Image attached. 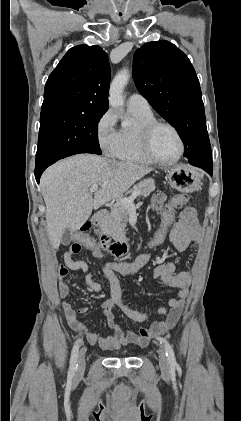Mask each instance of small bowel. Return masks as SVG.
Listing matches in <instances>:
<instances>
[{
	"label": "small bowel",
	"instance_id": "obj_1",
	"mask_svg": "<svg viewBox=\"0 0 241 421\" xmlns=\"http://www.w3.org/2000/svg\"><path fill=\"white\" fill-rule=\"evenodd\" d=\"M165 195L157 193L154 195L152 204L155 211L161 215L164 210ZM170 241L179 251L186 250L196 245L201 238V230L198 222L197 212L192 207H185L174 221L170 228ZM74 253L70 247L64 253V262L71 270H79L86 274L85 284L89 290L99 292L101 286L92 279V275L88 273L89 267L82 260H74ZM150 260L147 253L141 254L135 262L115 261L106 263L103 266V277L110 284V297L103 302L102 317L106 320L108 326L112 330V334L101 336L96 331H91L79 319L80 314L88 311L87 307L75 310L72 305L64 301L69 294V282L62 281L59 284L58 293L62 301V308L65 313L70 328L76 332L84 333L91 344H99L104 350L117 349L123 345H135L145 347L150 339L156 338L172 328L179 320L183 311L185 301L188 295V289L191 283L190 272L176 273V266L173 262L158 263L154 268L155 278L164 284L176 289L175 297L168 301L166 307H160L156 314L166 315L164 321L154 322L150 327H146L144 323L148 321L149 315L134 309H131L122 302V290L117 274L129 277L138 272ZM121 310L130 321L141 324L138 332L125 329L114 319V311Z\"/></svg>",
	"mask_w": 241,
	"mask_h": 421
}]
</instances>
